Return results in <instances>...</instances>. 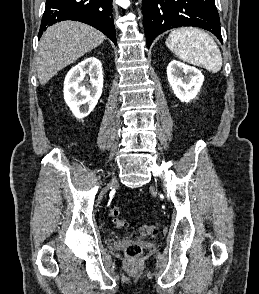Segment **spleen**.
Listing matches in <instances>:
<instances>
[{
  "instance_id": "spleen-1",
  "label": "spleen",
  "mask_w": 259,
  "mask_h": 294,
  "mask_svg": "<svg viewBox=\"0 0 259 294\" xmlns=\"http://www.w3.org/2000/svg\"><path fill=\"white\" fill-rule=\"evenodd\" d=\"M167 47L181 60L217 73L222 67V56L213 38L204 31L183 27L171 31Z\"/></svg>"
}]
</instances>
